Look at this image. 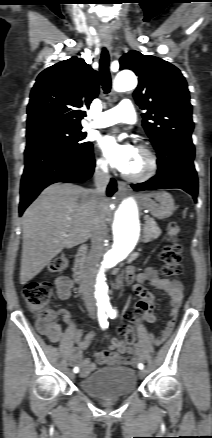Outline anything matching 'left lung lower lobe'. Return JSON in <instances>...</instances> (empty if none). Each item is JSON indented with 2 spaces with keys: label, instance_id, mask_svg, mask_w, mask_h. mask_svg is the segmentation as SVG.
Listing matches in <instances>:
<instances>
[{
  "label": "left lung lower lobe",
  "instance_id": "1",
  "mask_svg": "<svg viewBox=\"0 0 212 438\" xmlns=\"http://www.w3.org/2000/svg\"><path fill=\"white\" fill-rule=\"evenodd\" d=\"M157 151V175L150 180L132 184L135 191L179 188L197 201L198 178L194 167L195 149L191 137L171 139Z\"/></svg>",
  "mask_w": 212,
  "mask_h": 438
}]
</instances>
